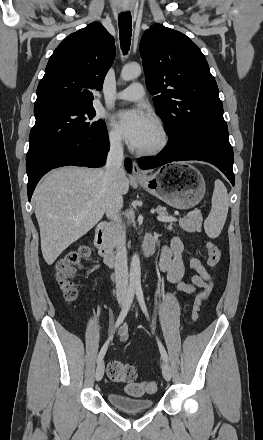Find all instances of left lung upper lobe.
Returning a JSON list of instances; mask_svg holds the SVG:
<instances>
[{"mask_svg": "<svg viewBox=\"0 0 263 440\" xmlns=\"http://www.w3.org/2000/svg\"><path fill=\"white\" fill-rule=\"evenodd\" d=\"M140 54L156 113L175 144L188 151L211 133L228 130L214 77L201 50L186 35L155 24Z\"/></svg>", "mask_w": 263, "mask_h": 440, "instance_id": "1", "label": "left lung upper lobe"}]
</instances>
